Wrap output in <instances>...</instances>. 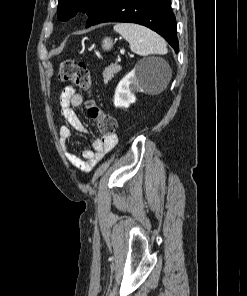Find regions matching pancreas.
<instances>
[{"label": "pancreas", "mask_w": 247, "mask_h": 296, "mask_svg": "<svg viewBox=\"0 0 247 296\" xmlns=\"http://www.w3.org/2000/svg\"><path fill=\"white\" fill-rule=\"evenodd\" d=\"M121 66L113 64L105 68L103 72L104 83L110 81L115 74L121 71Z\"/></svg>", "instance_id": "cf45deb5"}]
</instances>
